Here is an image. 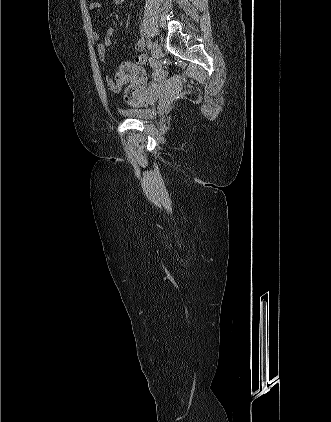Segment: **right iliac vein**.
<instances>
[{
    "instance_id": "1",
    "label": "right iliac vein",
    "mask_w": 331,
    "mask_h": 422,
    "mask_svg": "<svg viewBox=\"0 0 331 422\" xmlns=\"http://www.w3.org/2000/svg\"><path fill=\"white\" fill-rule=\"evenodd\" d=\"M151 45H152V48H153L152 55H153V58H154V65H156L158 60L161 57V49L156 42H152Z\"/></svg>"
}]
</instances>
